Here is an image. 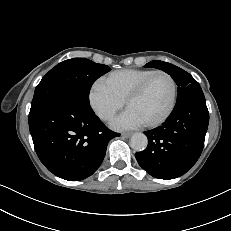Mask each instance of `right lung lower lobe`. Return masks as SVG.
I'll use <instances>...</instances> for the list:
<instances>
[{
  "label": "right lung lower lobe",
  "instance_id": "98d812e1",
  "mask_svg": "<svg viewBox=\"0 0 231 231\" xmlns=\"http://www.w3.org/2000/svg\"><path fill=\"white\" fill-rule=\"evenodd\" d=\"M29 129L41 162L69 181L92 175L105 157L108 142L119 136L102 123L88 102L66 93L30 110Z\"/></svg>",
  "mask_w": 231,
  "mask_h": 231
}]
</instances>
